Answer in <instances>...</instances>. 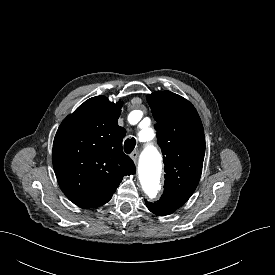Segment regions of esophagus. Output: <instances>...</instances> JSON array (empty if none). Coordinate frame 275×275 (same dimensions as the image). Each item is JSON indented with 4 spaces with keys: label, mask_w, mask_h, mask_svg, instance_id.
<instances>
[{
    "label": "esophagus",
    "mask_w": 275,
    "mask_h": 275,
    "mask_svg": "<svg viewBox=\"0 0 275 275\" xmlns=\"http://www.w3.org/2000/svg\"><path fill=\"white\" fill-rule=\"evenodd\" d=\"M138 151H133L131 154H130V157L131 159L134 161V162H137V158H138Z\"/></svg>",
    "instance_id": "1"
}]
</instances>
